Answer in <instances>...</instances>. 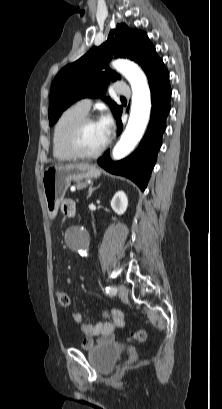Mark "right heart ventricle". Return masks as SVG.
Returning a JSON list of instances; mask_svg holds the SVG:
<instances>
[{
	"label": "right heart ventricle",
	"mask_w": 222,
	"mask_h": 409,
	"mask_svg": "<svg viewBox=\"0 0 222 409\" xmlns=\"http://www.w3.org/2000/svg\"><path fill=\"white\" fill-rule=\"evenodd\" d=\"M87 112L81 110L77 105L67 108L59 116L53 130V156L59 161H70L76 157L69 151L67 146V137L73 126L83 117Z\"/></svg>",
	"instance_id": "1"
}]
</instances>
